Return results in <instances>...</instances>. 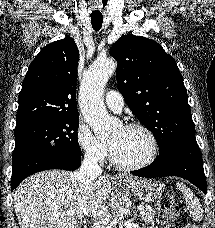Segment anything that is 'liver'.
Listing matches in <instances>:
<instances>
[{"label":"liver","instance_id":"obj_1","mask_svg":"<svg viewBox=\"0 0 215 228\" xmlns=\"http://www.w3.org/2000/svg\"><path fill=\"white\" fill-rule=\"evenodd\" d=\"M75 174L45 170L26 178L13 192L20 228H81V218L102 214L99 206L109 200L112 190L109 178L98 176L94 188H86Z\"/></svg>","mask_w":215,"mask_h":228}]
</instances>
